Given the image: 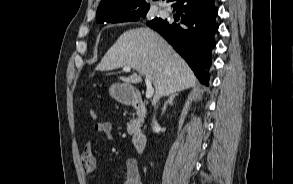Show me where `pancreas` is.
Returning <instances> with one entry per match:
<instances>
[{"mask_svg":"<svg viewBox=\"0 0 293 184\" xmlns=\"http://www.w3.org/2000/svg\"><path fill=\"white\" fill-rule=\"evenodd\" d=\"M141 124V120L140 119H132L128 125H127V132L129 135H132L136 132V130L138 129V127Z\"/></svg>","mask_w":293,"mask_h":184,"instance_id":"1","label":"pancreas"}]
</instances>
